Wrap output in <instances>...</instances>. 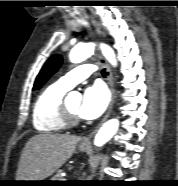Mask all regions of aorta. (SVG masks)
<instances>
[{
	"label": "aorta",
	"instance_id": "762f6f07",
	"mask_svg": "<svg viewBox=\"0 0 178 186\" xmlns=\"http://www.w3.org/2000/svg\"><path fill=\"white\" fill-rule=\"evenodd\" d=\"M94 48H95V44L92 42L78 44L71 50L69 54V59L72 63L83 62L84 60H86L88 57H90L93 54ZM101 50L105 58L113 66H116L117 62L115 58V53L112 50V48H110L107 45L102 44ZM74 95L75 93H70L69 97H72ZM118 127H119L118 119H110L109 121L104 123L95 136L94 145L97 147L103 146L117 132Z\"/></svg>",
	"mask_w": 178,
	"mask_h": 186
}]
</instances>
